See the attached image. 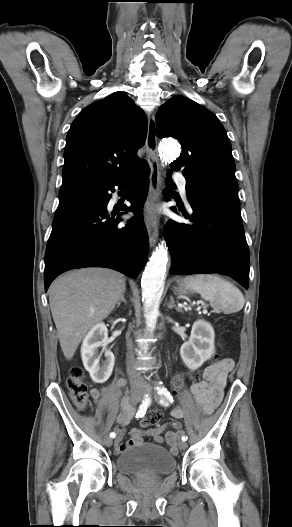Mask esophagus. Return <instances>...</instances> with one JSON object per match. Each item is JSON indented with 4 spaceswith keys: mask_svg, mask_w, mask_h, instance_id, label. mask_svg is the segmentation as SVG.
Returning a JSON list of instances; mask_svg holds the SVG:
<instances>
[{
    "mask_svg": "<svg viewBox=\"0 0 292 527\" xmlns=\"http://www.w3.org/2000/svg\"><path fill=\"white\" fill-rule=\"evenodd\" d=\"M146 148L151 172L149 178V193L144 206V221L149 236L150 246H154L158 239V216L156 213V207L159 199V186L161 181L154 113H150L148 117Z\"/></svg>",
    "mask_w": 292,
    "mask_h": 527,
    "instance_id": "obj_1",
    "label": "esophagus"
}]
</instances>
